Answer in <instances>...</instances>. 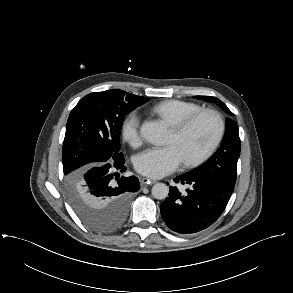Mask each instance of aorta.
I'll list each match as a JSON object with an SVG mask.
<instances>
[{"label": "aorta", "mask_w": 293, "mask_h": 293, "mask_svg": "<svg viewBox=\"0 0 293 293\" xmlns=\"http://www.w3.org/2000/svg\"><path fill=\"white\" fill-rule=\"evenodd\" d=\"M140 134L145 140L160 144L167 134V128L161 121H146L140 128ZM151 193L154 198L163 200L169 194V187L164 183H156L152 187Z\"/></svg>", "instance_id": "obj_1"}]
</instances>
